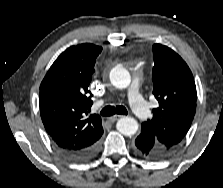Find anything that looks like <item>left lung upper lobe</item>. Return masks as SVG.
Instances as JSON below:
<instances>
[{
  "mask_svg": "<svg viewBox=\"0 0 223 188\" xmlns=\"http://www.w3.org/2000/svg\"><path fill=\"white\" fill-rule=\"evenodd\" d=\"M153 94L159 107L142 123L157 145L172 153L188 132L196 109V86L184 60L172 49L153 45Z\"/></svg>",
  "mask_w": 223,
  "mask_h": 188,
  "instance_id": "1",
  "label": "left lung upper lobe"
}]
</instances>
